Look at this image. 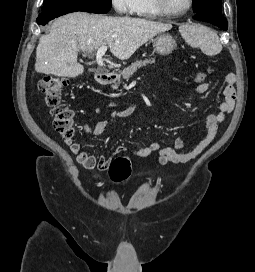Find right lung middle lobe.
Returning a JSON list of instances; mask_svg holds the SVG:
<instances>
[{
	"label": "right lung middle lobe",
	"instance_id": "dd1d6c3e",
	"mask_svg": "<svg viewBox=\"0 0 255 272\" xmlns=\"http://www.w3.org/2000/svg\"><path fill=\"white\" fill-rule=\"evenodd\" d=\"M111 0H44V10H73L92 13H107Z\"/></svg>",
	"mask_w": 255,
	"mask_h": 272
}]
</instances>
